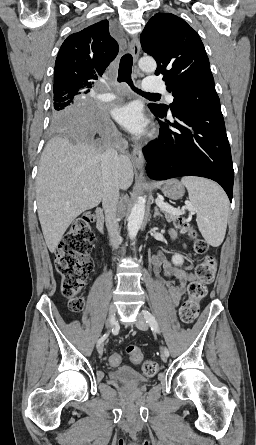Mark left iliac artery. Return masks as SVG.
I'll list each match as a JSON object with an SVG mask.
<instances>
[{
    "label": "left iliac artery",
    "mask_w": 256,
    "mask_h": 445,
    "mask_svg": "<svg viewBox=\"0 0 256 445\" xmlns=\"http://www.w3.org/2000/svg\"><path fill=\"white\" fill-rule=\"evenodd\" d=\"M144 314V318L146 320V322L149 324V326L151 327V330L154 332L159 333V326L158 323L155 319V317L147 310L143 311ZM163 352L169 356V351L166 347L163 348Z\"/></svg>",
    "instance_id": "1"
}]
</instances>
